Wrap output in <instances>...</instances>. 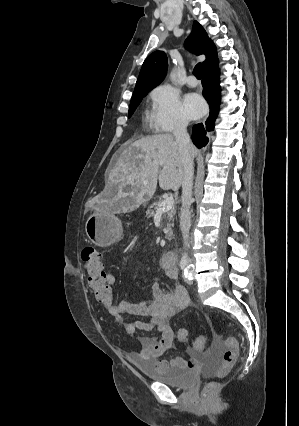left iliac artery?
Masks as SVG:
<instances>
[{"instance_id":"left-iliac-artery-1","label":"left iliac artery","mask_w":299,"mask_h":426,"mask_svg":"<svg viewBox=\"0 0 299 426\" xmlns=\"http://www.w3.org/2000/svg\"><path fill=\"white\" fill-rule=\"evenodd\" d=\"M185 277H188L189 279H192V270L190 269L189 271L184 272Z\"/></svg>"}]
</instances>
